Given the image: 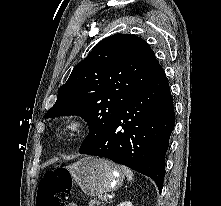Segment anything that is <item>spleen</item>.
Here are the masks:
<instances>
[{"mask_svg":"<svg viewBox=\"0 0 221 206\" xmlns=\"http://www.w3.org/2000/svg\"><path fill=\"white\" fill-rule=\"evenodd\" d=\"M122 169L124 170V173H125L127 179L129 181H132L133 180V172L130 169L126 168V167H122Z\"/></svg>","mask_w":221,"mask_h":206,"instance_id":"1","label":"spleen"}]
</instances>
